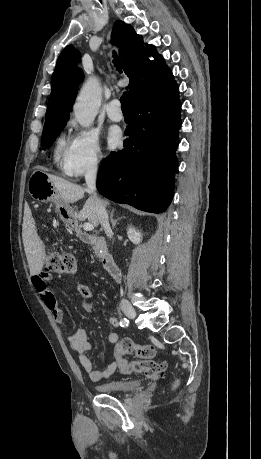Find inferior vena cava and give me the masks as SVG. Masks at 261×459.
<instances>
[{"instance_id": "1", "label": "inferior vena cava", "mask_w": 261, "mask_h": 459, "mask_svg": "<svg viewBox=\"0 0 261 459\" xmlns=\"http://www.w3.org/2000/svg\"><path fill=\"white\" fill-rule=\"evenodd\" d=\"M97 164H98V161L95 160L88 167V170L85 175V181L88 187V191L90 192L91 198L94 202L96 216L99 222L101 223V225L103 226L106 234L108 236H111L112 230L109 225L108 214L105 209V205L103 201L96 194V176H97V168H98Z\"/></svg>"}]
</instances>
